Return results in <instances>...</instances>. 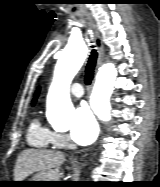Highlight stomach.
I'll return each instance as SVG.
<instances>
[{"label":"stomach","instance_id":"obj_1","mask_svg":"<svg viewBox=\"0 0 160 187\" xmlns=\"http://www.w3.org/2000/svg\"><path fill=\"white\" fill-rule=\"evenodd\" d=\"M59 175L57 171L50 170L46 172H40L39 174L35 175L31 180L27 181H35L24 183L21 186L27 187H49L53 186L55 182H48V181H58Z\"/></svg>","mask_w":160,"mask_h":187}]
</instances>
